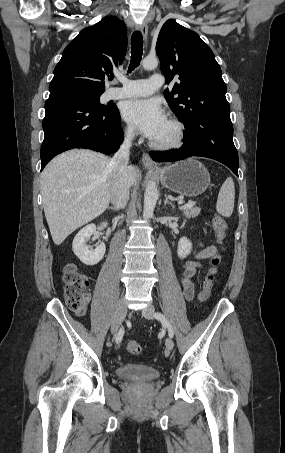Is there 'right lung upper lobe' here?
<instances>
[{
  "instance_id": "cb5924a9",
  "label": "right lung upper lobe",
  "mask_w": 285,
  "mask_h": 453,
  "mask_svg": "<svg viewBox=\"0 0 285 453\" xmlns=\"http://www.w3.org/2000/svg\"><path fill=\"white\" fill-rule=\"evenodd\" d=\"M126 35V25L114 16H106L95 25L83 29L64 49L54 69L50 92L103 93L106 76L125 57Z\"/></svg>"
}]
</instances>
